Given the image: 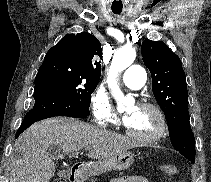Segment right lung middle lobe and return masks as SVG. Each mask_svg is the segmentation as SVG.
Masks as SVG:
<instances>
[{"mask_svg":"<svg viewBox=\"0 0 211 182\" xmlns=\"http://www.w3.org/2000/svg\"><path fill=\"white\" fill-rule=\"evenodd\" d=\"M37 79H43L49 86L68 95L77 104L86 108L90 107L91 93L99 82L58 64L41 66L36 75Z\"/></svg>","mask_w":211,"mask_h":182,"instance_id":"right-lung-middle-lobe-1","label":"right lung middle lobe"}]
</instances>
